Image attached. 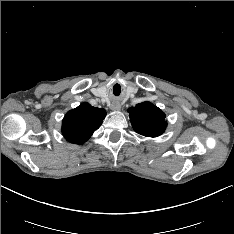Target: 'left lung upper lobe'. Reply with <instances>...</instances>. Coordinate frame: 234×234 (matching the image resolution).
<instances>
[{"label": "left lung upper lobe", "mask_w": 234, "mask_h": 234, "mask_svg": "<svg viewBox=\"0 0 234 234\" xmlns=\"http://www.w3.org/2000/svg\"><path fill=\"white\" fill-rule=\"evenodd\" d=\"M128 112L133 129L141 135L157 137L166 129L164 112L148 101L129 108Z\"/></svg>", "instance_id": "obj_1"}]
</instances>
